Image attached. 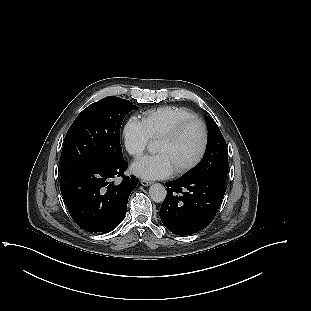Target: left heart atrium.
I'll return each mask as SVG.
<instances>
[{
  "label": "left heart atrium",
  "mask_w": 311,
  "mask_h": 311,
  "mask_svg": "<svg viewBox=\"0 0 311 311\" xmlns=\"http://www.w3.org/2000/svg\"><path fill=\"white\" fill-rule=\"evenodd\" d=\"M174 170L169 158L163 153L144 156L131 166L135 175L148 180L167 178Z\"/></svg>",
  "instance_id": "left-heart-atrium-1"
}]
</instances>
